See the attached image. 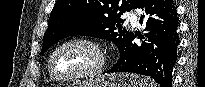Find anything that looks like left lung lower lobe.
Segmentation results:
<instances>
[{
    "instance_id": "obj_1",
    "label": "left lung lower lobe",
    "mask_w": 205,
    "mask_h": 87,
    "mask_svg": "<svg viewBox=\"0 0 205 87\" xmlns=\"http://www.w3.org/2000/svg\"><path fill=\"white\" fill-rule=\"evenodd\" d=\"M146 24L145 37L133 34L120 53L118 62L108 73L132 72L154 79L161 87H171L172 69L177 61L178 18L172 0H139L136 7ZM145 41L138 46L135 37Z\"/></svg>"
}]
</instances>
